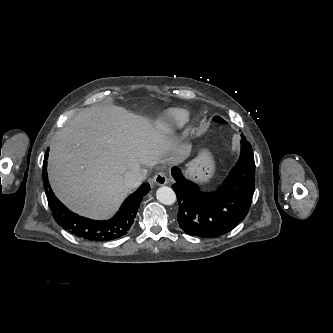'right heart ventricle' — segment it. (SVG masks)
Masks as SVG:
<instances>
[{
	"label": "right heart ventricle",
	"mask_w": 333,
	"mask_h": 333,
	"mask_svg": "<svg viewBox=\"0 0 333 333\" xmlns=\"http://www.w3.org/2000/svg\"><path fill=\"white\" fill-rule=\"evenodd\" d=\"M191 119L190 113L185 109H172L167 114L169 127L173 129H181L189 123Z\"/></svg>",
	"instance_id": "e07e8e85"
}]
</instances>
